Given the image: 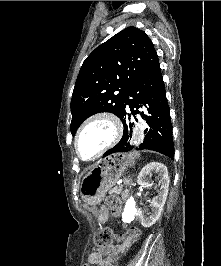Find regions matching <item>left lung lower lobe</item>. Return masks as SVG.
I'll return each instance as SVG.
<instances>
[{
	"mask_svg": "<svg viewBox=\"0 0 221 266\" xmlns=\"http://www.w3.org/2000/svg\"><path fill=\"white\" fill-rule=\"evenodd\" d=\"M142 105L147 108L149 116L143 115V112L138 110ZM129 109L133 116L141 114L143 118H146L149 126L145 130L144 142L137 150H154L173 158L174 144L170 110L159 65L150 73L135 81L130 87L123 113L120 117L124 125L123 136L116 146L104 153L103 157L116 152H127L132 149V146L127 142L133 127L131 114L128 113Z\"/></svg>",
	"mask_w": 221,
	"mask_h": 266,
	"instance_id": "1",
	"label": "left lung lower lobe"
}]
</instances>
